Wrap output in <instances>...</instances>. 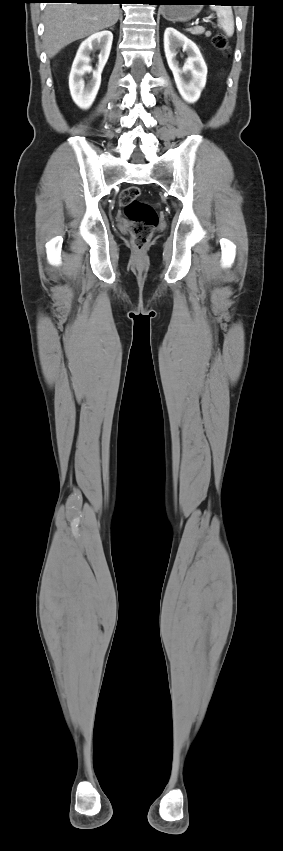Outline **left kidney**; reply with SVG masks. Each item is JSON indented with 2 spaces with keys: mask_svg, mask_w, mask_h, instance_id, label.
Here are the masks:
<instances>
[{
  "mask_svg": "<svg viewBox=\"0 0 283 851\" xmlns=\"http://www.w3.org/2000/svg\"><path fill=\"white\" fill-rule=\"evenodd\" d=\"M179 48L188 56L182 68L176 57V50ZM164 51L180 95L188 103L196 102L205 87L207 77V66L199 48L185 35L168 27L164 32Z\"/></svg>",
  "mask_w": 283,
  "mask_h": 851,
  "instance_id": "1",
  "label": "left kidney"
}]
</instances>
